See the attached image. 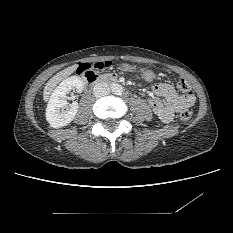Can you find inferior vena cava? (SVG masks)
<instances>
[{"label": "inferior vena cava", "mask_w": 233, "mask_h": 233, "mask_svg": "<svg viewBox=\"0 0 233 233\" xmlns=\"http://www.w3.org/2000/svg\"><path fill=\"white\" fill-rule=\"evenodd\" d=\"M109 93H110V88L108 84L105 82H99L93 88V95L95 97H103L109 95Z\"/></svg>", "instance_id": "1"}]
</instances>
